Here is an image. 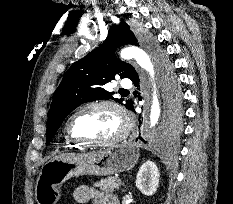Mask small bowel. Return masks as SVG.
<instances>
[{"mask_svg":"<svg viewBox=\"0 0 233 204\" xmlns=\"http://www.w3.org/2000/svg\"><path fill=\"white\" fill-rule=\"evenodd\" d=\"M73 195L78 203L118 204V199L114 194L102 192L89 186L77 187Z\"/></svg>","mask_w":233,"mask_h":204,"instance_id":"1","label":"small bowel"}]
</instances>
